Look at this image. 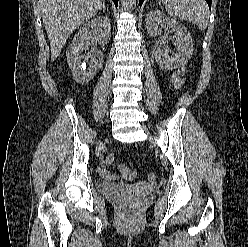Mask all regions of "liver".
Masks as SVG:
<instances>
[{
  "instance_id": "liver-1",
  "label": "liver",
  "mask_w": 248,
  "mask_h": 247,
  "mask_svg": "<svg viewBox=\"0 0 248 247\" xmlns=\"http://www.w3.org/2000/svg\"><path fill=\"white\" fill-rule=\"evenodd\" d=\"M103 2L104 0H40L52 61L59 56L73 30L93 17Z\"/></svg>"
}]
</instances>
